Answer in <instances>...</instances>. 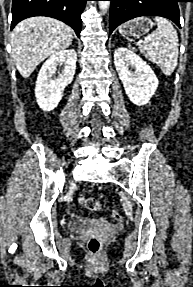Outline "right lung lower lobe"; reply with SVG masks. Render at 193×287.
<instances>
[{
	"label": "right lung lower lobe",
	"instance_id": "right-lung-lower-lobe-1",
	"mask_svg": "<svg viewBox=\"0 0 193 287\" xmlns=\"http://www.w3.org/2000/svg\"><path fill=\"white\" fill-rule=\"evenodd\" d=\"M88 0H13L11 30L23 19L48 16L71 26L78 37L81 32V14Z\"/></svg>",
	"mask_w": 193,
	"mask_h": 287
}]
</instances>
